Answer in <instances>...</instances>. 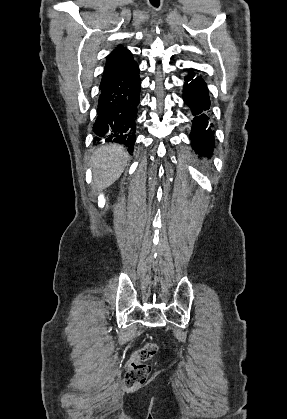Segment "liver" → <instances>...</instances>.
Masks as SVG:
<instances>
[{"label":"liver","instance_id":"obj_1","mask_svg":"<svg viewBox=\"0 0 287 419\" xmlns=\"http://www.w3.org/2000/svg\"><path fill=\"white\" fill-rule=\"evenodd\" d=\"M129 154L117 144H107L98 147L90 161L93 171L92 189L101 192L114 183L122 174Z\"/></svg>","mask_w":287,"mask_h":419}]
</instances>
